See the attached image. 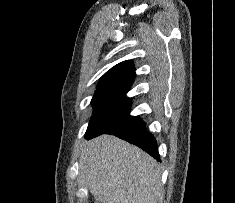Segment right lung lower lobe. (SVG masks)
<instances>
[{
	"label": "right lung lower lobe",
	"instance_id": "right-lung-lower-lobe-1",
	"mask_svg": "<svg viewBox=\"0 0 235 203\" xmlns=\"http://www.w3.org/2000/svg\"><path fill=\"white\" fill-rule=\"evenodd\" d=\"M130 106L102 122L86 134L87 139L101 134H112L134 145H137L155 159L160 160L157 143L145 128V122L136 116L129 115Z\"/></svg>",
	"mask_w": 235,
	"mask_h": 203
}]
</instances>
